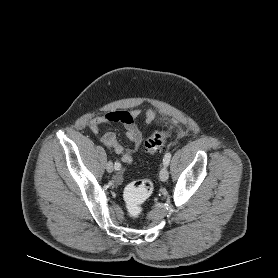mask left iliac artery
Segmentation results:
<instances>
[{
  "label": "left iliac artery",
  "instance_id": "44dca946",
  "mask_svg": "<svg viewBox=\"0 0 278 278\" xmlns=\"http://www.w3.org/2000/svg\"><path fill=\"white\" fill-rule=\"evenodd\" d=\"M170 159H171V153L168 152V153L165 154V156L163 158L164 166H168L169 165Z\"/></svg>",
  "mask_w": 278,
  "mask_h": 278
}]
</instances>
